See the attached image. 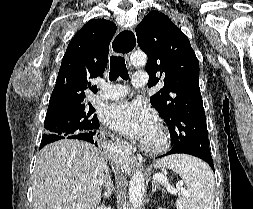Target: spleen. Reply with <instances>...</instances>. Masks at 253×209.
Segmentation results:
<instances>
[{
  "mask_svg": "<svg viewBox=\"0 0 253 209\" xmlns=\"http://www.w3.org/2000/svg\"><path fill=\"white\" fill-rule=\"evenodd\" d=\"M155 168H168L184 180L187 191L176 201L177 209H213L214 177L202 160L188 155H173L156 162Z\"/></svg>",
  "mask_w": 253,
  "mask_h": 209,
  "instance_id": "spleen-1",
  "label": "spleen"
}]
</instances>
